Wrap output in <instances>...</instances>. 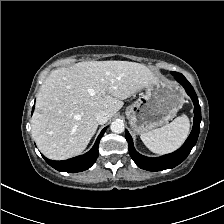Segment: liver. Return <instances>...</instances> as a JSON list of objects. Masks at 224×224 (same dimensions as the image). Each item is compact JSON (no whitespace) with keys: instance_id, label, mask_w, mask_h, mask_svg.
Instances as JSON below:
<instances>
[{"instance_id":"obj_1","label":"liver","mask_w":224,"mask_h":224,"mask_svg":"<svg viewBox=\"0 0 224 224\" xmlns=\"http://www.w3.org/2000/svg\"><path fill=\"white\" fill-rule=\"evenodd\" d=\"M156 80L148 67L128 61H86L58 68L37 95L32 137L49 159L79 155L98 128V112L113 117L123 100Z\"/></svg>"}]
</instances>
